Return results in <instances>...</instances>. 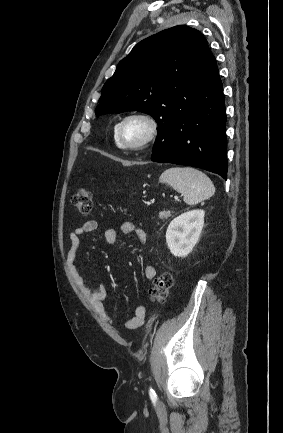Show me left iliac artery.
<instances>
[{"label":"left iliac artery","instance_id":"left-iliac-artery-1","mask_svg":"<svg viewBox=\"0 0 283 433\" xmlns=\"http://www.w3.org/2000/svg\"><path fill=\"white\" fill-rule=\"evenodd\" d=\"M149 395H150V398L152 400H156L157 399V395H156L155 391L151 387L149 389Z\"/></svg>","mask_w":283,"mask_h":433}]
</instances>
